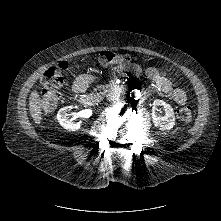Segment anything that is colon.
Instances as JSON below:
<instances>
[{
  "label": "colon",
  "mask_w": 221,
  "mask_h": 221,
  "mask_svg": "<svg viewBox=\"0 0 221 221\" xmlns=\"http://www.w3.org/2000/svg\"><path fill=\"white\" fill-rule=\"evenodd\" d=\"M147 67L146 70L157 72L158 68L155 64L151 63L149 59L144 60ZM100 63L104 67L117 66L120 64L122 67H129L133 63V58L129 54H122L119 56L117 53L104 54L100 58ZM68 68L66 63H59L58 66L49 68L43 76L42 82L48 91L44 94L43 106L45 109H51L55 106L58 93L55 89L59 88L63 83V71ZM178 117L182 121H190L192 115V105L189 99L184 96L178 101Z\"/></svg>",
  "instance_id": "5ec220e1"
}]
</instances>
